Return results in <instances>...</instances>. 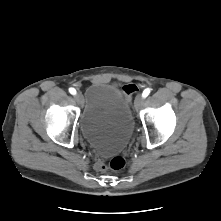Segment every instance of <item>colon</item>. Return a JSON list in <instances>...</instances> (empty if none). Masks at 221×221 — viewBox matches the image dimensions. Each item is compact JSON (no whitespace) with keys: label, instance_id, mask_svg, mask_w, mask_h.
<instances>
[{"label":"colon","instance_id":"1","mask_svg":"<svg viewBox=\"0 0 221 221\" xmlns=\"http://www.w3.org/2000/svg\"><path fill=\"white\" fill-rule=\"evenodd\" d=\"M137 91H138V86L135 83H128L123 86V93L127 101H129L132 94H134ZM96 166L97 169L100 171H106L108 169L113 171H119L126 166V160L123 156L117 155L111 158L108 164L104 162H98Z\"/></svg>","mask_w":221,"mask_h":221}]
</instances>
